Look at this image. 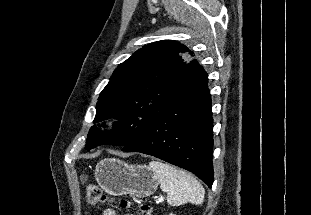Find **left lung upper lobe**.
<instances>
[{
    "label": "left lung upper lobe",
    "instance_id": "obj_1",
    "mask_svg": "<svg viewBox=\"0 0 311 215\" xmlns=\"http://www.w3.org/2000/svg\"><path fill=\"white\" fill-rule=\"evenodd\" d=\"M193 56L186 46L162 40L144 46L120 64L100 93L94 123L110 118L120 121L108 132L93 126L86 149L104 144L126 146L132 142L193 78L199 67Z\"/></svg>",
    "mask_w": 311,
    "mask_h": 215
}]
</instances>
